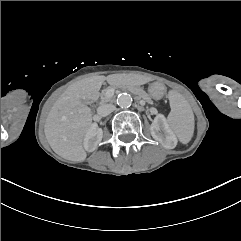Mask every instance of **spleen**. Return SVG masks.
Returning a JSON list of instances; mask_svg holds the SVG:
<instances>
[{
    "instance_id": "obj_1",
    "label": "spleen",
    "mask_w": 241,
    "mask_h": 241,
    "mask_svg": "<svg viewBox=\"0 0 241 241\" xmlns=\"http://www.w3.org/2000/svg\"><path fill=\"white\" fill-rule=\"evenodd\" d=\"M171 111L167 116V124L179 142L186 146L192 139L195 129L193 110L178 91L169 93Z\"/></svg>"
}]
</instances>
